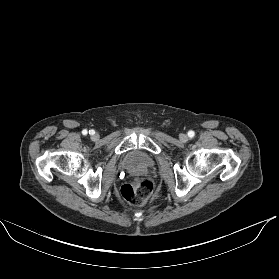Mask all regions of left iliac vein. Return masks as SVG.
Instances as JSON below:
<instances>
[{"label": "left iliac vein", "instance_id": "1", "mask_svg": "<svg viewBox=\"0 0 279 279\" xmlns=\"http://www.w3.org/2000/svg\"><path fill=\"white\" fill-rule=\"evenodd\" d=\"M188 136L186 135V134H181L180 135V140L182 141V142H187L188 141Z\"/></svg>", "mask_w": 279, "mask_h": 279}]
</instances>
